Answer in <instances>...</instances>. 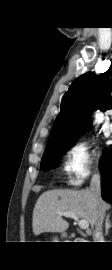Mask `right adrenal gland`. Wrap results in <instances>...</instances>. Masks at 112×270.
<instances>
[{"mask_svg":"<svg viewBox=\"0 0 112 270\" xmlns=\"http://www.w3.org/2000/svg\"><path fill=\"white\" fill-rule=\"evenodd\" d=\"M112 227L111 222H110V214L106 216L105 220V236L108 235L109 229Z\"/></svg>","mask_w":112,"mask_h":270,"instance_id":"obj_1","label":"right adrenal gland"}]
</instances>
